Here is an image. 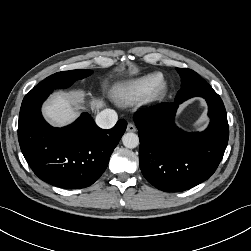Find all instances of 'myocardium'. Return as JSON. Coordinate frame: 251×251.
<instances>
[{
    "instance_id": "f54148a6",
    "label": "myocardium",
    "mask_w": 251,
    "mask_h": 251,
    "mask_svg": "<svg viewBox=\"0 0 251 251\" xmlns=\"http://www.w3.org/2000/svg\"><path fill=\"white\" fill-rule=\"evenodd\" d=\"M167 90V85L166 83L162 82L152 93V97L154 99L161 98Z\"/></svg>"
}]
</instances>
